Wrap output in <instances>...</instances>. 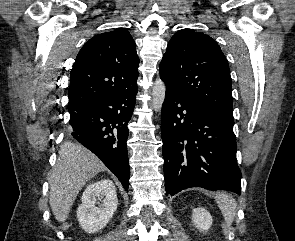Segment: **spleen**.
<instances>
[{"instance_id":"3e777b00","label":"spleen","mask_w":295,"mask_h":241,"mask_svg":"<svg viewBox=\"0 0 295 241\" xmlns=\"http://www.w3.org/2000/svg\"><path fill=\"white\" fill-rule=\"evenodd\" d=\"M215 200L221 209L226 226H231L237 210L235 199L231 195L221 192L215 194Z\"/></svg>"}]
</instances>
